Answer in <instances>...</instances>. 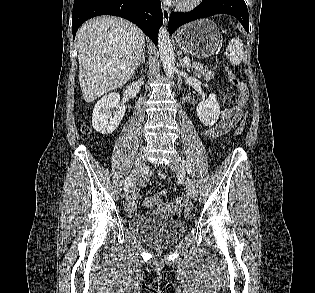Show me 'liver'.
<instances>
[{
  "label": "liver",
  "mask_w": 315,
  "mask_h": 293,
  "mask_svg": "<svg viewBox=\"0 0 315 293\" xmlns=\"http://www.w3.org/2000/svg\"><path fill=\"white\" fill-rule=\"evenodd\" d=\"M79 82L90 103L126 84L133 76L145 47L143 32L125 19H91L76 35Z\"/></svg>",
  "instance_id": "6515ba94"
}]
</instances>
